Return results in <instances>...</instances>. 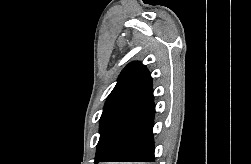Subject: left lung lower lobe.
Listing matches in <instances>:
<instances>
[{
    "mask_svg": "<svg viewBox=\"0 0 251 164\" xmlns=\"http://www.w3.org/2000/svg\"><path fill=\"white\" fill-rule=\"evenodd\" d=\"M152 88L130 109L114 140L110 156L101 162H154Z\"/></svg>",
    "mask_w": 251,
    "mask_h": 164,
    "instance_id": "0a47b994",
    "label": "left lung lower lobe"
}]
</instances>
